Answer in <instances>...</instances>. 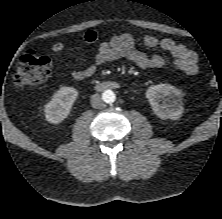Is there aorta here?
Here are the masks:
<instances>
[{
	"label": "aorta",
	"mask_w": 222,
	"mask_h": 219,
	"mask_svg": "<svg viewBox=\"0 0 222 219\" xmlns=\"http://www.w3.org/2000/svg\"><path fill=\"white\" fill-rule=\"evenodd\" d=\"M115 94L113 91L111 90H106L104 93H103V99L106 103H113L115 101Z\"/></svg>",
	"instance_id": "1"
}]
</instances>
